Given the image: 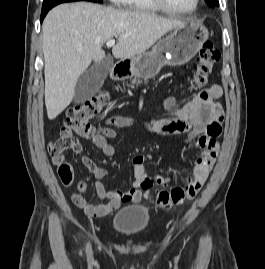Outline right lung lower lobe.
Instances as JSON below:
<instances>
[{
	"instance_id": "98d812e1",
	"label": "right lung lower lobe",
	"mask_w": 265,
	"mask_h": 269,
	"mask_svg": "<svg viewBox=\"0 0 265 269\" xmlns=\"http://www.w3.org/2000/svg\"><path fill=\"white\" fill-rule=\"evenodd\" d=\"M75 1H89V0H44L41 12V22L43 21L47 12L54 6L65 2H75Z\"/></svg>"
}]
</instances>
